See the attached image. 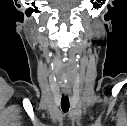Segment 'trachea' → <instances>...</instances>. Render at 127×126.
<instances>
[{
  "label": "trachea",
  "mask_w": 127,
  "mask_h": 126,
  "mask_svg": "<svg viewBox=\"0 0 127 126\" xmlns=\"http://www.w3.org/2000/svg\"><path fill=\"white\" fill-rule=\"evenodd\" d=\"M69 107H70V104H69L68 96L62 95L61 108H62L63 112H65V113L68 112Z\"/></svg>",
  "instance_id": "obj_1"
}]
</instances>
